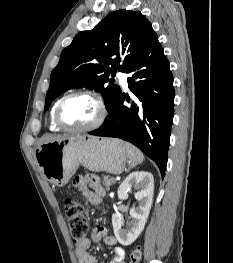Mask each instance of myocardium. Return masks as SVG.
Wrapping results in <instances>:
<instances>
[{
	"instance_id": "obj_1",
	"label": "myocardium",
	"mask_w": 233,
	"mask_h": 263,
	"mask_svg": "<svg viewBox=\"0 0 233 263\" xmlns=\"http://www.w3.org/2000/svg\"><path fill=\"white\" fill-rule=\"evenodd\" d=\"M77 96L91 97L92 99H94L96 101L98 108H99V114H98V117L96 118V120L92 124H90L86 127L73 128V127L66 125L64 123V121L62 120V108H63L64 104L69 99H71L73 97H77ZM106 116H107V106H106V103H105L103 97L95 91L80 90V91L71 92V93L65 95L63 98H61V100L59 101V103L56 107L55 122L61 129L65 130V131L74 132V133H83V132H90V131H94V130L98 129L103 124Z\"/></svg>"
}]
</instances>
